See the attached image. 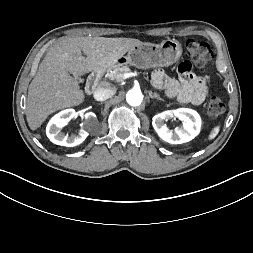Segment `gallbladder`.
I'll return each instance as SVG.
<instances>
[{
	"mask_svg": "<svg viewBox=\"0 0 253 253\" xmlns=\"http://www.w3.org/2000/svg\"><path fill=\"white\" fill-rule=\"evenodd\" d=\"M75 79H76L78 82H82V80H81L78 76H76Z\"/></svg>",
	"mask_w": 253,
	"mask_h": 253,
	"instance_id": "bac80fb5",
	"label": "gallbladder"
}]
</instances>
